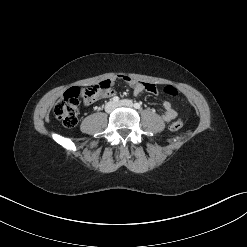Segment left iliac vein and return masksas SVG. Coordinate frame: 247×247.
Returning a JSON list of instances; mask_svg holds the SVG:
<instances>
[{
	"label": "left iliac vein",
	"instance_id": "1",
	"mask_svg": "<svg viewBox=\"0 0 247 247\" xmlns=\"http://www.w3.org/2000/svg\"><path fill=\"white\" fill-rule=\"evenodd\" d=\"M117 106H126V107H133V103L131 100L125 99L121 100L117 103Z\"/></svg>",
	"mask_w": 247,
	"mask_h": 247
}]
</instances>
